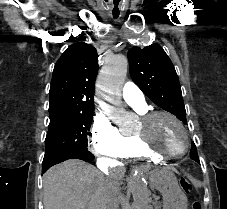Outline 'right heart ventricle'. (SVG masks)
<instances>
[{
  "mask_svg": "<svg viewBox=\"0 0 227 209\" xmlns=\"http://www.w3.org/2000/svg\"><path fill=\"white\" fill-rule=\"evenodd\" d=\"M140 113H144L145 109H139ZM121 158L143 160L153 163H158L162 159L149 155L145 150L136 142L134 136H127L126 146L121 154Z\"/></svg>",
  "mask_w": 227,
  "mask_h": 209,
  "instance_id": "e07e8e85",
  "label": "right heart ventricle"
}]
</instances>
